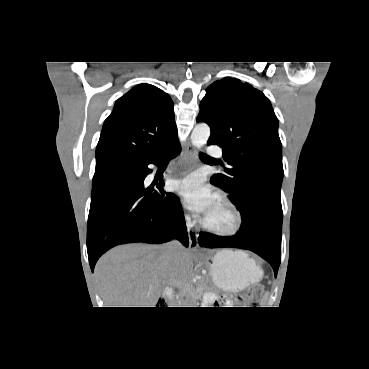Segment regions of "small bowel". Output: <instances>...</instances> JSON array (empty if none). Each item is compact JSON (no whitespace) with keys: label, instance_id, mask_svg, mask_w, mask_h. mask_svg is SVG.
I'll return each instance as SVG.
<instances>
[{"label":"small bowel","instance_id":"1","mask_svg":"<svg viewBox=\"0 0 369 369\" xmlns=\"http://www.w3.org/2000/svg\"><path fill=\"white\" fill-rule=\"evenodd\" d=\"M213 298H214V296L211 295V294H209V295L206 296V300L207 301H211V300H213Z\"/></svg>","mask_w":369,"mask_h":369}]
</instances>
